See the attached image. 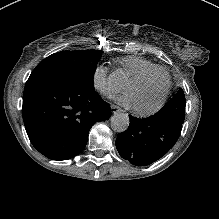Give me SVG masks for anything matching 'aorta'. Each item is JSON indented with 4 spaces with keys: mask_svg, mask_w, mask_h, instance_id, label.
I'll list each match as a JSON object with an SVG mask.
<instances>
[{
    "mask_svg": "<svg viewBox=\"0 0 219 219\" xmlns=\"http://www.w3.org/2000/svg\"><path fill=\"white\" fill-rule=\"evenodd\" d=\"M130 118L127 113H117L111 118V128L116 132H123L128 129Z\"/></svg>",
    "mask_w": 219,
    "mask_h": 219,
    "instance_id": "obj_1",
    "label": "aorta"
}]
</instances>
